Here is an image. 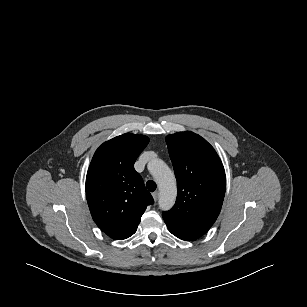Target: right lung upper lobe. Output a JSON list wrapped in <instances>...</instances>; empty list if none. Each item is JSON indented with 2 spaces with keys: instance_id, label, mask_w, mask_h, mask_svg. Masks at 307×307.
Listing matches in <instances>:
<instances>
[{
  "instance_id": "obj_1",
  "label": "right lung upper lobe",
  "mask_w": 307,
  "mask_h": 307,
  "mask_svg": "<svg viewBox=\"0 0 307 307\" xmlns=\"http://www.w3.org/2000/svg\"><path fill=\"white\" fill-rule=\"evenodd\" d=\"M148 137L125 133L95 152L86 177V197L93 220L109 237L126 239L137 230L146 207L154 203L133 165Z\"/></svg>"
}]
</instances>
